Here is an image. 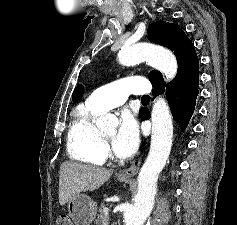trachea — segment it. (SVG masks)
Instances as JSON below:
<instances>
[{
    "label": "trachea",
    "mask_w": 237,
    "mask_h": 225,
    "mask_svg": "<svg viewBox=\"0 0 237 225\" xmlns=\"http://www.w3.org/2000/svg\"><path fill=\"white\" fill-rule=\"evenodd\" d=\"M141 100L142 101H149L150 100V96L144 95Z\"/></svg>",
    "instance_id": "obj_1"
}]
</instances>
